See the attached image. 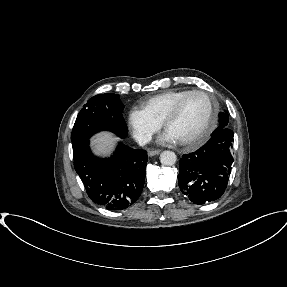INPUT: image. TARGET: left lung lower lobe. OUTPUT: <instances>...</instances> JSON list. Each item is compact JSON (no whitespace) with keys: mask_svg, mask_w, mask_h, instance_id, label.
<instances>
[{"mask_svg":"<svg viewBox=\"0 0 287 287\" xmlns=\"http://www.w3.org/2000/svg\"><path fill=\"white\" fill-rule=\"evenodd\" d=\"M233 136L232 130L221 129L197 151L179 160V187L193 203L213 202L225 192L234 161Z\"/></svg>","mask_w":287,"mask_h":287,"instance_id":"1","label":"left lung lower lobe"}]
</instances>
